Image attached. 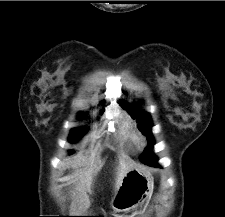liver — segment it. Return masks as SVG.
<instances>
[{"label": "liver", "mask_w": 225, "mask_h": 217, "mask_svg": "<svg viewBox=\"0 0 225 217\" xmlns=\"http://www.w3.org/2000/svg\"><path fill=\"white\" fill-rule=\"evenodd\" d=\"M133 163L131 161H127L124 159L119 160V164L117 167V172H116V178H115V190H119L123 178L126 175V173L133 168ZM92 173L93 169H88L84 173H80L79 175V186H78V191L80 192V195L82 197V202H83V207L82 210H86L90 206L89 199L84 192L85 188L90 190V186L92 183Z\"/></svg>", "instance_id": "6515ba94"}]
</instances>
